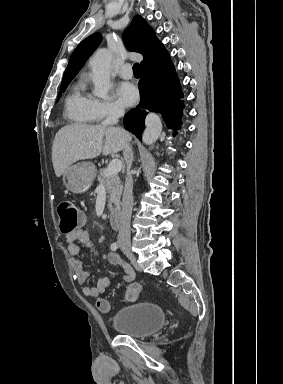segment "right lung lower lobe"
Returning a JSON list of instances; mask_svg holds the SVG:
<instances>
[{
  "label": "right lung lower lobe",
  "instance_id": "1",
  "mask_svg": "<svg viewBox=\"0 0 283 384\" xmlns=\"http://www.w3.org/2000/svg\"><path fill=\"white\" fill-rule=\"evenodd\" d=\"M138 87L140 104L125 115V129L141 139L147 111H153L161 113L167 126L177 130L181 124L184 104L181 100L183 94L172 62L161 69L141 73Z\"/></svg>",
  "mask_w": 283,
  "mask_h": 384
}]
</instances>
